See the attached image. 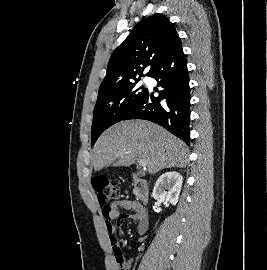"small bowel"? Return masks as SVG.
<instances>
[{
  "label": "small bowel",
  "mask_w": 267,
  "mask_h": 270,
  "mask_svg": "<svg viewBox=\"0 0 267 270\" xmlns=\"http://www.w3.org/2000/svg\"><path fill=\"white\" fill-rule=\"evenodd\" d=\"M123 210L130 211L126 214ZM105 225L109 233L110 242L113 247L116 244L118 229L114 225L115 220H124L128 218L135 226L140 235H144L148 230V217L145 210L134 201L121 200L112 203L102 211Z\"/></svg>",
  "instance_id": "small-bowel-1"
}]
</instances>
